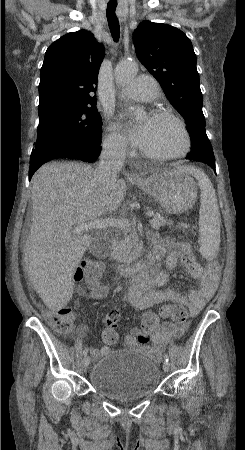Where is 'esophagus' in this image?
Masks as SVG:
<instances>
[{"mask_svg": "<svg viewBox=\"0 0 245 450\" xmlns=\"http://www.w3.org/2000/svg\"><path fill=\"white\" fill-rule=\"evenodd\" d=\"M129 177H130L131 179H133V180H138V179H140L139 175H138L137 173H134V172L130 173Z\"/></svg>", "mask_w": 245, "mask_h": 450, "instance_id": "1", "label": "esophagus"}]
</instances>
